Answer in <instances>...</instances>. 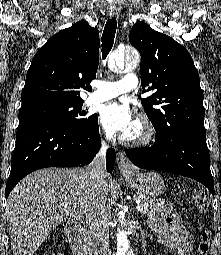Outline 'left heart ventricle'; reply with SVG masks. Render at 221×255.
Returning <instances> with one entry per match:
<instances>
[{"instance_id": "left-heart-ventricle-1", "label": "left heart ventricle", "mask_w": 221, "mask_h": 255, "mask_svg": "<svg viewBox=\"0 0 221 255\" xmlns=\"http://www.w3.org/2000/svg\"><path fill=\"white\" fill-rule=\"evenodd\" d=\"M136 125L130 130V132L128 133V135H135L136 134Z\"/></svg>"}]
</instances>
